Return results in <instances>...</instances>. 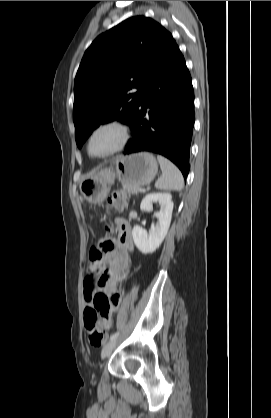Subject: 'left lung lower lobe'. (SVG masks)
I'll list each match as a JSON object with an SVG mask.
<instances>
[{"label":"left lung lower lobe","instance_id":"0a47b994","mask_svg":"<svg viewBox=\"0 0 271 418\" xmlns=\"http://www.w3.org/2000/svg\"><path fill=\"white\" fill-rule=\"evenodd\" d=\"M194 122L191 76L173 40L128 123L134 136L124 154L140 151L161 154L175 163L186 178Z\"/></svg>","mask_w":271,"mask_h":418}]
</instances>
